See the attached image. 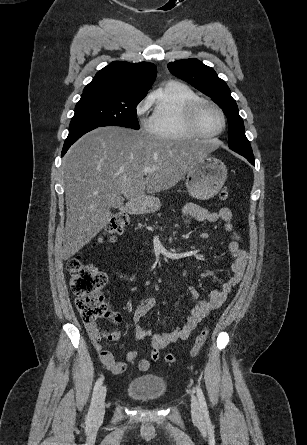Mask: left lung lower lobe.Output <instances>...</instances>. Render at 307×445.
Wrapping results in <instances>:
<instances>
[{
  "mask_svg": "<svg viewBox=\"0 0 307 445\" xmlns=\"http://www.w3.org/2000/svg\"><path fill=\"white\" fill-rule=\"evenodd\" d=\"M240 155L244 156L252 165H254V156L253 153H244V152H237Z\"/></svg>",
  "mask_w": 307,
  "mask_h": 445,
  "instance_id": "1",
  "label": "left lung lower lobe"
}]
</instances>
